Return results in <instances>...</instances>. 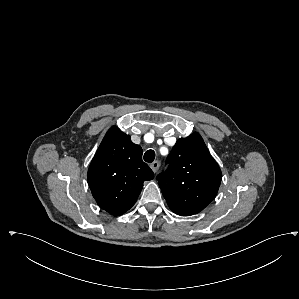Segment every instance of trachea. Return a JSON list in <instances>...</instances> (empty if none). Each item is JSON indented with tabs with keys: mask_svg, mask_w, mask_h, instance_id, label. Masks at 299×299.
I'll return each mask as SVG.
<instances>
[{
	"mask_svg": "<svg viewBox=\"0 0 299 299\" xmlns=\"http://www.w3.org/2000/svg\"><path fill=\"white\" fill-rule=\"evenodd\" d=\"M144 160L148 163H151L155 159V152L153 150H148L144 154Z\"/></svg>",
	"mask_w": 299,
	"mask_h": 299,
	"instance_id": "obj_1",
	"label": "trachea"
}]
</instances>
